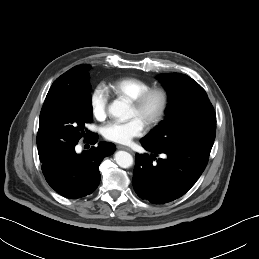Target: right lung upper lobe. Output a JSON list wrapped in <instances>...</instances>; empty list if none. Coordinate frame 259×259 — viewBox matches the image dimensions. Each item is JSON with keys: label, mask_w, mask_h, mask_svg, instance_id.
Instances as JSON below:
<instances>
[{"label": "right lung upper lobe", "mask_w": 259, "mask_h": 259, "mask_svg": "<svg viewBox=\"0 0 259 259\" xmlns=\"http://www.w3.org/2000/svg\"><path fill=\"white\" fill-rule=\"evenodd\" d=\"M88 67L90 66H76L57 78L49 89L43 107L62 99L77 98L86 94L87 88L82 76Z\"/></svg>", "instance_id": "obj_1"}]
</instances>
